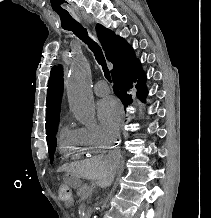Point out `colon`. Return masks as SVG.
<instances>
[{"label":"colon","instance_id":"obj_1","mask_svg":"<svg viewBox=\"0 0 211 218\" xmlns=\"http://www.w3.org/2000/svg\"><path fill=\"white\" fill-rule=\"evenodd\" d=\"M58 196L62 201H69L72 199L71 189L66 184H61L58 187Z\"/></svg>","mask_w":211,"mask_h":218}]
</instances>
